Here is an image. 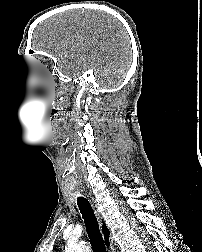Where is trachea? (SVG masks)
Here are the masks:
<instances>
[{
    "label": "trachea",
    "mask_w": 202,
    "mask_h": 252,
    "mask_svg": "<svg viewBox=\"0 0 202 252\" xmlns=\"http://www.w3.org/2000/svg\"><path fill=\"white\" fill-rule=\"evenodd\" d=\"M77 205L84 219L88 237L90 239L93 251L106 252L104 240L99 230L98 221L90 203L84 197H78Z\"/></svg>",
    "instance_id": "3493384b"
}]
</instances>
